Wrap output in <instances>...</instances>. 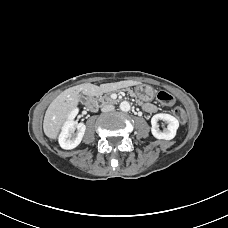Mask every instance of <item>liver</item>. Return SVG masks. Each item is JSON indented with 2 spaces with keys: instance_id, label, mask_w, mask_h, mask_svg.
Returning <instances> with one entry per match:
<instances>
[{
  "instance_id": "liver-1",
  "label": "liver",
  "mask_w": 228,
  "mask_h": 228,
  "mask_svg": "<svg viewBox=\"0 0 228 228\" xmlns=\"http://www.w3.org/2000/svg\"><path fill=\"white\" fill-rule=\"evenodd\" d=\"M138 85L137 81H123L102 86H96L91 83H84L70 87L60 93L49 105L46 110L43 130L50 139H56L70 113L77 107L80 101V93L86 96H98L105 91L113 90L123 85Z\"/></svg>"
}]
</instances>
